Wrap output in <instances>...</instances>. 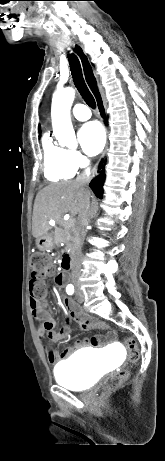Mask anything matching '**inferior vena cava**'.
Returning a JSON list of instances; mask_svg holds the SVG:
<instances>
[{
	"mask_svg": "<svg viewBox=\"0 0 165 461\" xmlns=\"http://www.w3.org/2000/svg\"><path fill=\"white\" fill-rule=\"evenodd\" d=\"M89 175H90V169L87 168L85 173L82 174L77 178V182L82 186L85 187L88 182H89ZM91 216V211H90V197L89 195L86 196L85 199V205L81 213L79 214L78 217V223H77V233H76V245H75V253H74V259L72 262V279L77 280L80 276L81 272V247L84 241L85 233H86V227L89 224Z\"/></svg>",
	"mask_w": 165,
	"mask_h": 461,
	"instance_id": "1",
	"label": "inferior vena cava"
}]
</instances>
